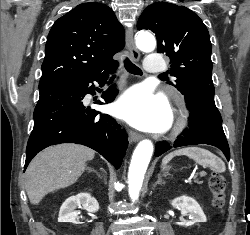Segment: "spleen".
Listing matches in <instances>:
<instances>
[{
	"label": "spleen",
	"mask_w": 250,
	"mask_h": 235,
	"mask_svg": "<svg viewBox=\"0 0 250 235\" xmlns=\"http://www.w3.org/2000/svg\"><path fill=\"white\" fill-rule=\"evenodd\" d=\"M185 155L193 159L196 163L204 166H209L211 170L217 173L225 172V163L216 155L208 150L199 147H188L175 150L167 154L163 160L162 164L165 165L170 162L175 156Z\"/></svg>",
	"instance_id": "obj_1"
}]
</instances>
